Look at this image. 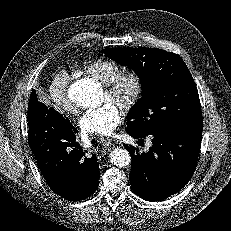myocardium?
Masks as SVG:
<instances>
[{
    "instance_id": "obj_1",
    "label": "myocardium",
    "mask_w": 231,
    "mask_h": 231,
    "mask_svg": "<svg viewBox=\"0 0 231 231\" xmlns=\"http://www.w3.org/2000/svg\"><path fill=\"white\" fill-rule=\"evenodd\" d=\"M131 86L128 95H123L127 86ZM104 90L109 98L115 101L124 111H131L142 99L146 90V80L144 76L136 71L123 73L119 75Z\"/></svg>"
}]
</instances>
